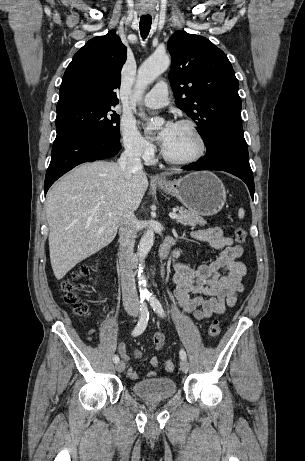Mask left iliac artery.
<instances>
[{"instance_id": "44dca946", "label": "left iliac artery", "mask_w": 305, "mask_h": 461, "mask_svg": "<svg viewBox=\"0 0 305 461\" xmlns=\"http://www.w3.org/2000/svg\"><path fill=\"white\" fill-rule=\"evenodd\" d=\"M146 299L150 302V305L151 307L153 308V310L162 318L165 317V312L163 310V307L161 305V303L159 302V300L156 298V296L150 294L146 297ZM179 355H180V358L181 359H186V352L181 349L180 352H179Z\"/></svg>"}]
</instances>
